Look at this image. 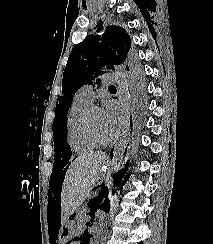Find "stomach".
Masks as SVG:
<instances>
[{"mask_svg": "<svg viewBox=\"0 0 213 244\" xmlns=\"http://www.w3.org/2000/svg\"><path fill=\"white\" fill-rule=\"evenodd\" d=\"M104 174L102 172L99 173V178H101ZM80 231L79 223L77 221V217L75 214H71L70 217L63 223V227L61 229L62 239L58 240L59 244H68V239H75V233ZM72 244V243H71Z\"/></svg>", "mask_w": 213, "mask_h": 244, "instance_id": "1", "label": "stomach"}]
</instances>
